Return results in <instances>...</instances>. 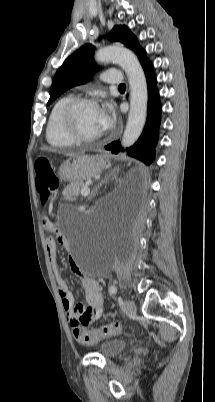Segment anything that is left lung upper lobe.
I'll return each instance as SVG.
<instances>
[{
  "label": "left lung upper lobe",
  "mask_w": 215,
  "mask_h": 402,
  "mask_svg": "<svg viewBox=\"0 0 215 402\" xmlns=\"http://www.w3.org/2000/svg\"><path fill=\"white\" fill-rule=\"evenodd\" d=\"M111 41L121 42L132 49L138 56L141 65L148 60L146 52L139 45L135 35L126 25H116L109 33ZM94 46L83 45L57 70L50 89V98L47 105L51 104L58 96L69 88L88 82L97 69L93 62Z\"/></svg>",
  "instance_id": "5c2ea615"
}]
</instances>
